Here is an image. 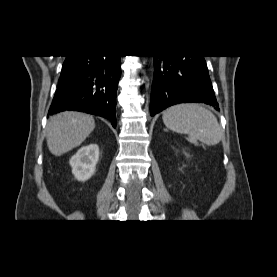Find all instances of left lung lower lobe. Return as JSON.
<instances>
[{
    "label": "left lung lower lobe",
    "instance_id": "left-lung-lower-lobe-1",
    "mask_svg": "<svg viewBox=\"0 0 277 277\" xmlns=\"http://www.w3.org/2000/svg\"><path fill=\"white\" fill-rule=\"evenodd\" d=\"M153 57L151 116L178 103L200 102L218 106L204 56Z\"/></svg>",
    "mask_w": 277,
    "mask_h": 277
}]
</instances>
